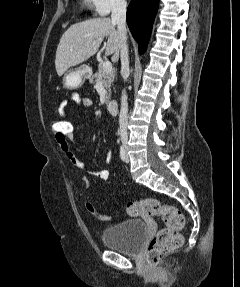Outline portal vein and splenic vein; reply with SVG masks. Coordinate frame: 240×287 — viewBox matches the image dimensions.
<instances>
[{"label": "portal vein and splenic vein", "instance_id": "18ae733b", "mask_svg": "<svg viewBox=\"0 0 240 287\" xmlns=\"http://www.w3.org/2000/svg\"><path fill=\"white\" fill-rule=\"evenodd\" d=\"M102 66H103V70H104L105 72H109V71L112 70V64H111L110 61H104L103 64H102Z\"/></svg>", "mask_w": 240, "mask_h": 287}]
</instances>
